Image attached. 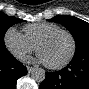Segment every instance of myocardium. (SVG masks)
<instances>
[{
  "label": "myocardium",
  "instance_id": "1",
  "mask_svg": "<svg viewBox=\"0 0 89 89\" xmlns=\"http://www.w3.org/2000/svg\"><path fill=\"white\" fill-rule=\"evenodd\" d=\"M60 33H64L69 37V39L71 41V51H70L68 57L64 61H62L61 63H58V64H48V63H46L45 65L50 69L57 70V69H62L64 67H66L73 60V58L75 56V53H76L77 44H76V40H75L74 35L69 30L62 29V28L53 30V31L45 34L38 41V43L35 46V49H36L37 53H39V48L42 44L49 41L52 37H54L55 35L60 34Z\"/></svg>",
  "mask_w": 89,
  "mask_h": 89
}]
</instances>
